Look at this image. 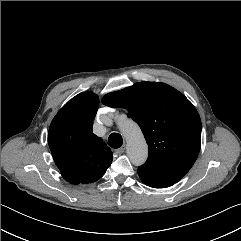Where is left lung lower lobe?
Returning <instances> with one entry per match:
<instances>
[{
  "instance_id": "left-lung-lower-lobe-1",
  "label": "left lung lower lobe",
  "mask_w": 241,
  "mask_h": 241,
  "mask_svg": "<svg viewBox=\"0 0 241 241\" xmlns=\"http://www.w3.org/2000/svg\"><path fill=\"white\" fill-rule=\"evenodd\" d=\"M138 175L144 184L153 188H166L173 185V183L151 176L140 170H138Z\"/></svg>"
}]
</instances>
